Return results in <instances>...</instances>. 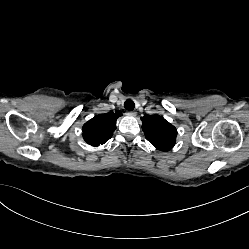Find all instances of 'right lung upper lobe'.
<instances>
[{"label": "right lung upper lobe", "instance_id": "cb5924a9", "mask_svg": "<svg viewBox=\"0 0 249 249\" xmlns=\"http://www.w3.org/2000/svg\"><path fill=\"white\" fill-rule=\"evenodd\" d=\"M121 112L99 114L83 125V138L91 146H99L108 141L116 129V120Z\"/></svg>", "mask_w": 249, "mask_h": 249}]
</instances>
